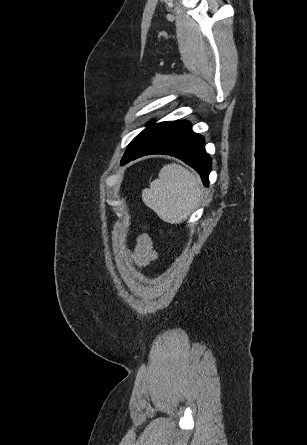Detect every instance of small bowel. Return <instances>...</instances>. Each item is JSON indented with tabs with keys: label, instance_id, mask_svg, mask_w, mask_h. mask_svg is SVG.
Segmentation results:
<instances>
[{
	"label": "small bowel",
	"instance_id": "obj_1",
	"mask_svg": "<svg viewBox=\"0 0 307 445\" xmlns=\"http://www.w3.org/2000/svg\"><path fill=\"white\" fill-rule=\"evenodd\" d=\"M130 255L139 267H146L157 258L153 242L146 234L137 238L135 249Z\"/></svg>",
	"mask_w": 307,
	"mask_h": 445
}]
</instances>
